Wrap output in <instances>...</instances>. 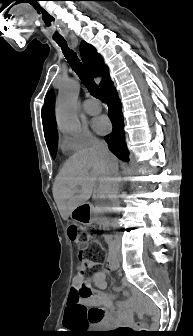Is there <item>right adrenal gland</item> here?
<instances>
[{"label":"right adrenal gland","mask_w":193,"mask_h":336,"mask_svg":"<svg viewBox=\"0 0 193 336\" xmlns=\"http://www.w3.org/2000/svg\"><path fill=\"white\" fill-rule=\"evenodd\" d=\"M120 183H121V179H119V181H118V187H120Z\"/></svg>","instance_id":"1"}]
</instances>
